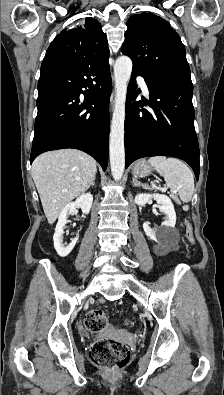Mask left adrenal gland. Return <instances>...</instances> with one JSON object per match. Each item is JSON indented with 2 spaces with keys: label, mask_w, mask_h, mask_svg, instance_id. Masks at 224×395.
I'll return each instance as SVG.
<instances>
[{
  "label": "left adrenal gland",
  "mask_w": 224,
  "mask_h": 395,
  "mask_svg": "<svg viewBox=\"0 0 224 395\" xmlns=\"http://www.w3.org/2000/svg\"><path fill=\"white\" fill-rule=\"evenodd\" d=\"M132 185H133V186H142V187L145 188V189H150L148 185L139 182V181L136 179V177H133V179H132Z\"/></svg>",
  "instance_id": "obj_1"
}]
</instances>
